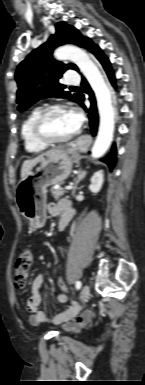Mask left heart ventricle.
<instances>
[{"label": "left heart ventricle", "instance_id": "1", "mask_svg": "<svg viewBox=\"0 0 145 385\" xmlns=\"http://www.w3.org/2000/svg\"><path fill=\"white\" fill-rule=\"evenodd\" d=\"M78 128L69 111L58 110L51 113L45 121V131L52 138H64L73 134Z\"/></svg>", "mask_w": 145, "mask_h": 385}]
</instances>
